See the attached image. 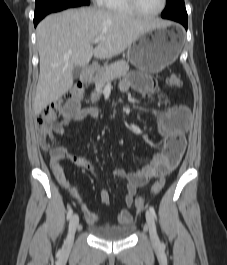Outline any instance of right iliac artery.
I'll list each match as a JSON object with an SVG mask.
<instances>
[{"mask_svg": "<svg viewBox=\"0 0 227 265\" xmlns=\"http://www.w3.org/2000/svg\"><path fill=\"white\" fill-rule=\"evenodd\" d=\"M73 214V209L70 207L67 213V220H70V218L72 217Z\"/></svg>", "mask_w": 227, "mask_h": 265, "instance_id": "right-iliac-artery-1", "label": "right iliac artery"}]
</instances>
